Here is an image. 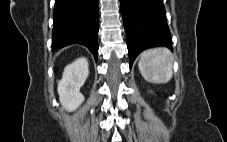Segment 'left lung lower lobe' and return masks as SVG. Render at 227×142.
Returning <instances> with one entry per match:
<instances>
[{"instance_id": "left-lung-lower-lobe-1", "label": "left lung lower lobe", "mask_w": 227, "mask_h": 142, "mask_svg": "<svg viewBox=\"0 0 227 142\" xmlns=\"http://www.w3.org/2000/svg\"><path fill=\"white\" fill-rule=\"evenodd\" d=\"M130 67L145 49L167 46L172 40L162 0H120Z\"/></svg>"}]
</instances>
